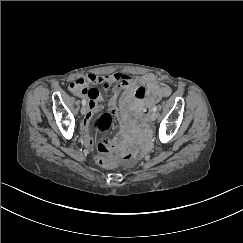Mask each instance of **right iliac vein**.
Returning <instances> with one entry per match:
<instances>
[{"label": "right iliac vein", "instance_id": "63e3f726", "mask_svg": "<svg viewBox=\"0 0 243 243\" xmlns=\"http://www.w3.org/2000/svg\"><path fill=\"white\" fill-rule=\"evenodd\" d=\"M86 111H87V109H86V107L83 105V106L81 107V114H82V115H85V114H86Z\"/></svg>", "mask_w": 243, "mask_h": 243}]
</instances>
